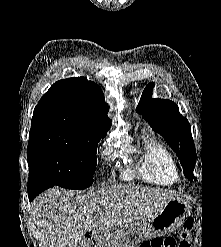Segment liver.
I'll use <instances>...</instances> for the list:
<instances>
[{
    "instance_id": "1",
    "label": "liver",
    "mask_w": 221,
    "mask_h": 247,
    "mask_svg": "<svg viewBox=\"0 0 221 247\" xmlns=\"http://www.w3.org/2000/svg\"><path fill=\"white\" fill-rule=\"evenodd\" d=\"M177 196L163 190L113 185L83 195L52 188L30 205L46 247H78L87 231L144 220Z\"/></svg>"
}]
</instances>
